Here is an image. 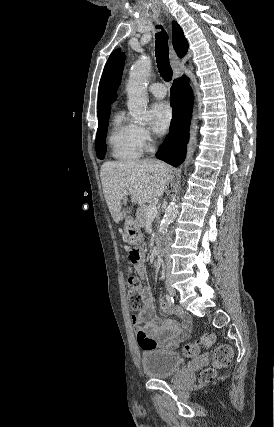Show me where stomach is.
I'll list each match as a JSON object with an SVG mask.
<instances>
[{
  "instance_id": "stomach-1",
  "label": "stomach",
  "mask_w": 274,
  "mask_h": 427,
  "mask_svg": "<svg viewBox=\"0 0 274 427\" xmlns=\"http://www.w3.org/2000/svg\"><path fill=\"white\" fill-rule=\"evenodd\" d=\"M125 235L129 245H138L142 241V233L134 217H127L124 225Z\"/></svg>"
}]
</instances>
